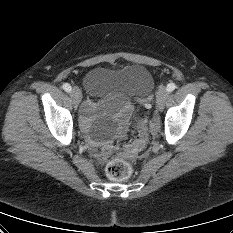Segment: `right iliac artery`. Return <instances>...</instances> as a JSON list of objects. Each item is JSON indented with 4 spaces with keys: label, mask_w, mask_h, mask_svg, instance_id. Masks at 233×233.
<instances>
[{
    "label": "right iliac artery",
    "mask_w": 233,
    "mask_h": 233,
    "mask_svg": "<svg viewBox=\"0 0 233 233\" xmlns=\"http://www.w3.org/2000/svg\"><path fill=\"white\" fill-rule=\"evenodd\" d=\"M62 87L66 92H70L72 90L70 84L68 83H64Z\"/></svg>",
    "instance_id": "obj_1"
}]
</instances>
